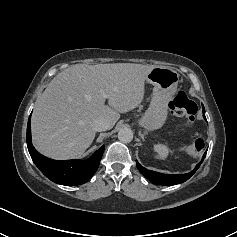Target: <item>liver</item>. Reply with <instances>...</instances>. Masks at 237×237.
I'll use <instances>...</instances> for the list:
<instances>
[{
    "mask_svg": "<svg viewBox=\"0 0 237 237\" xmlns=\"http://www.w3.org/2000/svg\"><path fill=\"white\" fill-rule=\"evenodd\" d=\"M154 67L76 64L58 73L33 111L32 139L36 149L57 160L83 154L95 138L94 120L107 119L111 129L119 113L136 108L144 97L146 76Z\"/></svg>",
    "mask_w": 237,
    "mask_h": 237,
    "instance_id": "obj_1",
    "label": "liver"
}]
</instances>
